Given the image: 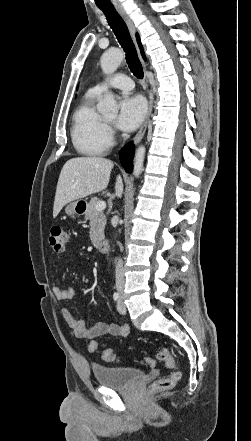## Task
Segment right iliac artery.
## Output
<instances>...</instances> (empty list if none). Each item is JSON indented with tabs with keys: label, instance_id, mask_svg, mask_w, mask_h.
Returning <instances> with one entry per match:
<instances>
[{
	"label": "right iliac artery",
	"instance_id": "right-iliac-artery-1",
	"mask_svg": "<svg viewBox=\"0 0 251 441\" xmlns=\"http://www.w3.org/2000/svg\"><path fill=\"white\" fill-rule=\"evenodd\" d=\"M119 293L118 292H115L114 294H113V299L115 300V301H117L118 299H119Z\"/></svg>",
	"mask_w": 251,
	"mask_h": 441
}]
</instances>
